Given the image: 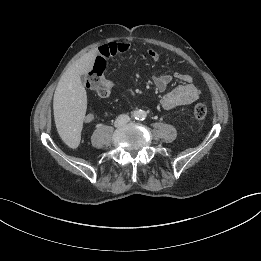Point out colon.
I'll list each match as a JSON object with an SVG mask.
<instances>
[{
	"mask_svg": "<svg viewBox=\"0 0 261 261\" xmlns=\"http://www.w3.org/2000/svg\"><path fill=\"white\" fill-rule=\"evenodd\" d=\"M105 70L104 63L98 61L94 64L93 69L87 79V88L102 97L111 94V88L104 78L103 73ZM207 116V106L203 103H199L194 108V117L197 121H202Z\"/></svg>",
	"mask_w": 261,
	"mask_h": 261,
	"instance_id": "obj_1",
	"label": "colon"
}]
</instances>
